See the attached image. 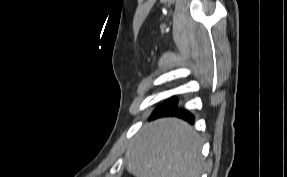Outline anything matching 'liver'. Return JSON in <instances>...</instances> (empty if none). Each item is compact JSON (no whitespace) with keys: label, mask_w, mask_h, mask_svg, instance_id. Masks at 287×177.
Segmentation results:
<instances>
[{"label":"liver","mask_w":287,"mask_h":177,"mask_svg":"<svg viewBox=\"0 0 287 177\" xmlns=\"http://www.w3.org/2000/svg\"><path fill=\"white\" fill-rule=\"evenodd\" d=\"M200 135L169 117L144 125L126 152L127 171L136 177H200Z\"/></svg>","instance_id":"6515ba94"}]
</instances>
